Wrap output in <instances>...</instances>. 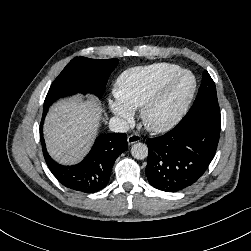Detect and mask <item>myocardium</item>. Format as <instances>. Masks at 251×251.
Here are the masks:
<instances>
[{
    "instance_id": "f54148a6",
    "label": "myocardium",
    "mask_w": 251,
    "mask_h": 251,
    "mask_svg": "<svg viewBox=\"0 0 251 251\" xmlns=\"http://www.w3.org/2000/svg\"><path fill=\"white\" fill-rule=\"evenodd\" d=\"M184 77L191 79V85L184 95L177 109L165 120L156 122L150 118L151 111L169 94L174 86ZM197 88V80L194 74L188 70H182L163 82L141 106L140 116L144 126L153 132H166L175 127L185 116L192 102Z\"/></svg>"
}]
</instances>
